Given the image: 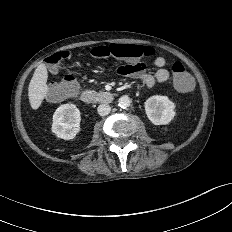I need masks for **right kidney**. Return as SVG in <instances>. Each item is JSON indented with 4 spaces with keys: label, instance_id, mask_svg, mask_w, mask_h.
<instances>
[{
    "label": "right kidney",
    "instance_id": "right-kidney-1",
    "mask_svg": "<svg viewBox=\"0 0 232 232\" xmlns=\"http://www.w3.org/2000/svg\"><path fill=\"white\" fill-rule=\"evenodd\" d=\"M80 111L74 104L59 106L53 115L52 132L61 139L71 140L80 131Z\"/></svg>",
    "mask_w": 232,
    "mask_h": 232
}]
</instances>
